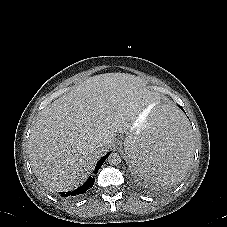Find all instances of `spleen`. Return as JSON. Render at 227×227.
Masks as SVG:
<instances>
[{"mask_svg": "<svg viewBox=\"0 0 227 227\" xmlns=\"http://www.w3.org/2000/svg\"><path fill=\"white\" fill-rule=\"evenodd\" d=\"M196 147L187 121L170 105L158 107L146 123L124 138V155L133 173L160 185L186 176Z\"/></svg>", "mask_w": 227, "mask_h": 227, "instance_id": "obj_1", "label": "spleen"}]
</instances>
